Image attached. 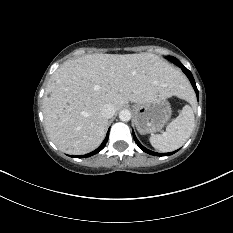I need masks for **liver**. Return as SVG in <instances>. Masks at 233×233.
<instances>
[{
    "label": "liver",
    "instance_id": "liver-1",
    "mask_svg": "<svg viewBox=\"0 0 233 233\" xmlns=\"http://www.w3.org/2000/svg\"><path fill=\"white\" fill-rule=\"evenodd\" d=\"M183 75L159 56L90 54L64 62L51 76L43 99L44 124L59 150L73 155L96 149L105 137L106 104L184 97Z\"/></svg>",
    "mask_w": 233,
    "mask_h": 233
}]
</instances>
